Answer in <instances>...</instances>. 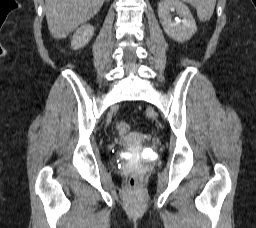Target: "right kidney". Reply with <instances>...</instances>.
<instances>
[{"instance_id": "obj_1", "label": "right kidney", "mask_w": 256, "mask_h": 228, "mask_svg": "<svg viewBox=\"0 0 256 228\" xmlns=\"http://www.w3.org/2000/svg\"><path fill=\"white\" fill-rule=\"evenodd\" d=\"M94 35V27L90 24L81 26L72 37L71 47L74 50L86 46Z\"/></svg>"}]
</instances>
